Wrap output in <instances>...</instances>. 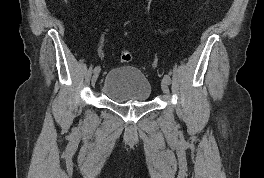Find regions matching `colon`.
<instances>
[{
  "label": "colon",
  "instance_id": "5ec220e1",
  "mask_svg": "<svg viewBox=\"0 0 264 178\" xmlns=\"http://www.w3.org/2000/svg\"><path fill=\"white\" fill-rule=\"evenodd\" d=\"M119 59L122 63H129L132 61L133 59V56L130 52L128 51H123L120 56H119Z\"/></svg>",
  "mask_w": 264,
  "mask_h": 178
}]
</instances>
